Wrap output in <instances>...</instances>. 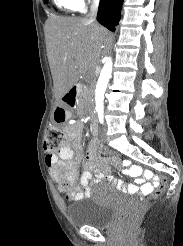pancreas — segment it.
I'll use <instances>...</instances> for the list:
<instances>
[{
    "mask_svg": "<svg viewBox=\"0 0 183 246\" xmlns=\"http://www.w3.org/2000/svg\"><path fill=\"white\" fill-rule=\"evenodd\" d=\"M87 94H88L87 93V90L84 89L83 92H82V94H81V97H80V107L83 106V104H84V98L87 97Z\"/></svg>",
    "mask_w": 183,
    "mask_h": 246,
    "instance_id": "cf45deb5",
    "label": "pancreas"
}]
</instances>
